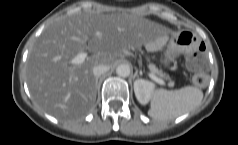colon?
I'll return each instance as SVG.
<instances>
[{
	"instance_id": "obj_1",
	"label": "colon",
	"mask_w": 238,
	"mask_h": 145,
	"mask_svg": "<svg viewBox=\"0 0 238 145\" xmlns=\"http://www.w3.org/2000/svg\"><path fill=\"white\" fill-rule=\"evenodd\" d=\"M188 66L190 69L198 73L194 77V83L197 86H204L207 82L206 77V51L203 44L200 45L197 52H195L188 59Z\"/></svg>"
}]
</instances>
